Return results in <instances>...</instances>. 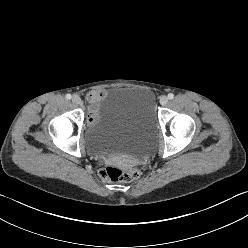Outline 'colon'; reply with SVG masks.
<instances>
[{
    "label": "colon",
    "mask_w": 248,
    "mask_h": 248,
    "mask_svg": "<svg viewBox=\"0 0 248 248\" xmlns=\"http://www.w3.org/2000/svg\"><path fill=\"white\" fill-rule=\"evenodd\" d=\"M99 175L106 181L128 182L138 178L140 171L137 168L123 169L118 166H107L100 170Z\"/></svg>",
    "instance_id": "obj_1"
}]
</instances>
